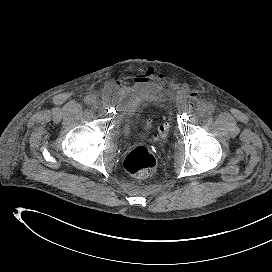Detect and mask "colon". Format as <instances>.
Listing matches in <instances>:
<instances>
[{"label":"colon","instance_id":"obj_1","mask_svg":"<svg viewBox=\"0 0 272 272\" xmlns=\"http://www.w3.org/2000/svg\"><path fill=\"white\" fill-rule=\"evenodd\" d=\"M167 126L164 125L159 130V136L166 134ZM157 161L153 153L146 147L140 146L131 150L125 160L124 167L132 175L137 177H148L156 169Z\"/></svg>","mask_w":272,"mask_h":272}]
</instances>
